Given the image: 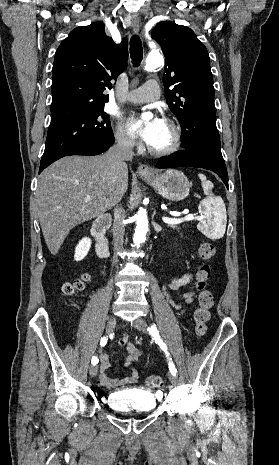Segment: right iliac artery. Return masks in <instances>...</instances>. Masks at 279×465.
Returning <instances> with one entry per match:
<instances>
[{
	"mask_svg": "<svg viewBox=\"0 0 279 465\" xmlns=\"http://www.w3.org/2000/svg\"><path fill=\"white\" fill-rule=\"evenodd\" d=\"M106 343H107V338H106V337L101 338L100 345H101V346H105ZM98 361H99V360L97 359L96 356H93V357H92V361H91V362H92L93 365L97 364Z\"/></svg>",
	"mask_w": 279,
	"mask_h": 465,
	"instance_id": "obj_1",
	"label": "right iliac artery"
}]
</instances>
